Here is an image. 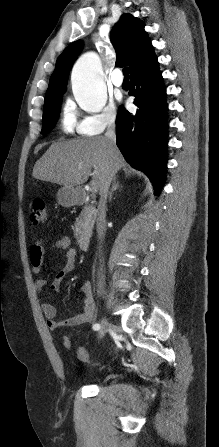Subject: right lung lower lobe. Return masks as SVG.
Instances as JSON below:
<instances>
[{
    "label": "right lung lower lobe",
    "mask_w": 219,
    "mask_h": 447,
    "mask_svg": "<svg viewBox=\"0 0 219 447\" xmlns=\"http://www.w3.org/2000/svg\"><path fill=\"white\" fill-rule=\"evenodd\" d=\"M129 95L135 96V114L119 107L116 144L130 165L145 172L158 195L167 167L166 89L157 58L130 76Z\"/></svg>",
    "instance_id": "98d812e1"
}]
</instances>
